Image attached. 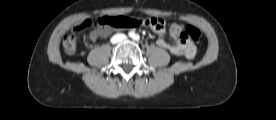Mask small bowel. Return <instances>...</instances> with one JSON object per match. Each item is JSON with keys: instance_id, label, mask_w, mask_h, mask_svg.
<instances>
[{"instance_id": "obj_1", "label": "small bowel", "mask_w": 276, "mask_h": 120, "mask_svg": "<svg viewBox=\"0 0 276 120\" xmlns=\"http://www.w3.org/2000/svg\"><path fill=\"white\" fill-rule=\"evenodd\" d=\"M157 33L162 34L165 31V25L160 29H154ZM106 34V31L95 29L90 33V39L92 41L97 40L99 37ZM157 45L165 50L170 51L176 56H182L187 59H191L195 56L196 47L192 42L175 40L174 43H168L167 41L160 39L157 41Z\"/></svg>"}]
</instances>
